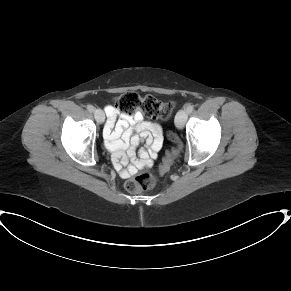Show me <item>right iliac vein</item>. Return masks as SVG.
Wrapping results in <instances>:
<instances>
[{"mask_svg": "<svg viewBox=\"0 0 291 291\" xmlns=\"http://www.w3.org/2000/svg\"><path fill=\"white\" fill-rule=\"evenodd\" d=\"M94 116L98 123L101 124L104 122L105 116H104V112L101 109H95Z\"/></svg>", "mask_w": 291, "mask_h": 291, "instance_id": "63e3f726", "label": "right iliac vein"}]
</instances>
